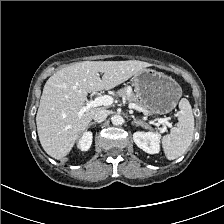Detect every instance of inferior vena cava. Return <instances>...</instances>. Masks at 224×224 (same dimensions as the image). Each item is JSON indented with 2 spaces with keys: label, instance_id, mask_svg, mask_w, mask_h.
<instances>
[{
  "label": "inferior vena cava",
  "instance_id": "602c4592",
  "mask_svg": "<svg viewBox=\"0 0 224 224\" xmlns=\"http://www.w3.org/2000/svg\"><path fill=\"white\" fill-rule=\"evenodd\" d=\"M108 116V111L106 109H99L96 111V113L94 114V121L101 123L103 122Z\"/></svg>",
  "mask_w": 224,
  "mask_h": 224
}]
</instances>
